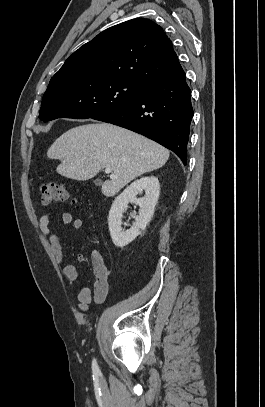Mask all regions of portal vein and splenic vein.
<instances>
[{
	"label": "portal vein and splenic vein",
	"mask_w": 265,
	"mask_h": 407,
	"mask_svg": "<svg viewBox=\"0 0 265 407\" xmlns=\"http://www.w3.org/2000/svg\"><path fill=\"white\" fill-rule=\"evenodd\" d=\"M105 173H107V174L111 173V168H109V167L105 168ZM112 177H115V176L112 175Z\"/></svg>",
	"instance_id": "obj_1"
}]
</instances>
